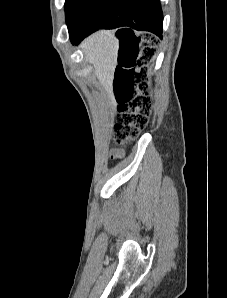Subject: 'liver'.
I'll return each instance as SVG.
<instances>
[{"label":"liver","mask_w":227,"mask_h":298,"mask_svg":"<svg viewBox=\"0 0 227 298\" xmlns=\"http://www.w3.org/2000/svg\"><path fill=\"white\" fill-rule=\"evenodd\" d=\"M81 47L86 60L93 65L100 85L112 99V82L119 49L118 39L112 31L101 30L86 38Z\"/></svg>","instance_id":"1"}]
</instances>
